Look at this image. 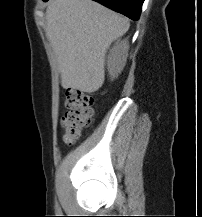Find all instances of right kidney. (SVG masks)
<instances>
[{
	"label": "right kidney",
	"mask_w": 202,
	"mask_h": 217,
	"mask_svg": "<svg viewBox=\"0 0 202 217\" xmlns=\"http://www.w3.org/2000/svg\"><path fill=\"white\" fill-rule=\"evenodd\" d=\"M128 49V41L123 40L116 42L113 48L110 50L107 66L112 79L118 77L123 70L128 56Z\"/></svg>",
	"instance_id": "right-kidney-1"
}]
</instances>
